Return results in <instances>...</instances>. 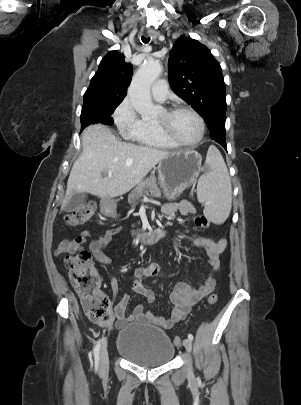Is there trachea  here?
Instances as JSON below:
<instances>
[{"instance_id": "1", "label": "trachea", "mask_w": 301, "mask_h": 405, "mask_svg": "<svg viewBox=\"0 0 301 405\" xmlns=\"http://www.w3.org/2000/svg\"><path fill=\"white\" fill-rule=\"evenodd\" d=\"M149 41H150V38H149V37L146 38V37L142 36V42H143V43H148Z\"/></svg>"}]
</instances>
